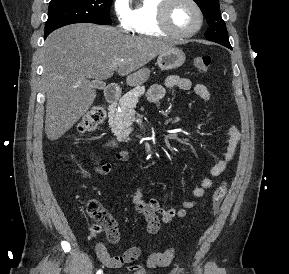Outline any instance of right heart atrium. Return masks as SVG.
<instances>
[{
	"mask_svg": "<svg viewBox=\"0 0 289 274\" xmlns=\"http://www.w3.org/2000/svg\"><path fill=\"white\" fill-rule=\"evenodd\" d=\"M112 10L118 26L124 31L132 30V13L129 0H113Z\"/></svg>",
	"mask_w": 289,
	"mask_h": 274,
	"instance_id": "d8ad5b80",
	"label": "right heart atrium"
}]
</instances>
